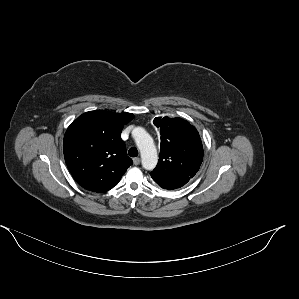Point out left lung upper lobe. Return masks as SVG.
Here are the masks:
<instances>
[{
    "instance_id": "5c2ea615",
    "label": "left lung upper lobe",
    "mask_w": 299,
    "mask_h": 299,
    "mask_svg": "<svg viewBox=\"0 0 299 299\" xmlns=\"http://www.w3.org/2000/svg\"><path fill=\"white\" fill-rule=\"evenodd\" d=\"M161 148L156 168L157 177H194L203 160L202 142L196 128L181 118H157Z\"/></svg>"
}]
</instances>
